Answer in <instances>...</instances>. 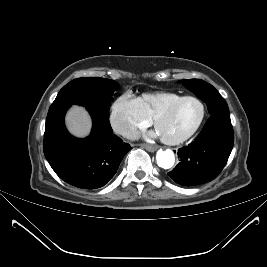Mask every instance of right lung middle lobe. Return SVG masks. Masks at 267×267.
<instances>
[{
    "label": "right lung middle lobe",
    "instance_id": "obj_1",
    "mask_svg": "<svg viewBox=\"0 0 267 267\" xmlns=\"http://www.w3.org/2000/svg\"><path fill=\"white\" fill-rule=\"evenodd\" d=\"M119 84L100 77H82L65 85L50 106L48 114L77 104L109 115L113 93Z\"/></svg>",
    "mask_w": 267,
    "mask_h": 267
}]
</instances>
